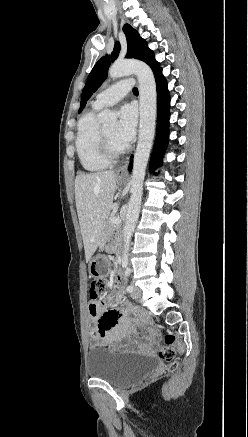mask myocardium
I'll list each match as a JSON object with an SVG mask.
<instances>
[{
	"mask_svg": "<svg viewBox=\"0 0 248 437\" xmlns=\"http://www.w3.org/2000/svg\"><path fill=\"white\" fill-rule=\"evenodd\" d=\"M128 147L114 148L106 135L103 127H100V150L102 155L109 161L117 159L127 151Z\"/></svg>",
	"mask_w": 248,
	"mask_h": 437,
	"instance_id": "1",
	"label": "myocardium"
}]
</instances>
